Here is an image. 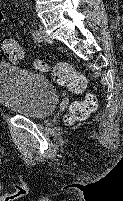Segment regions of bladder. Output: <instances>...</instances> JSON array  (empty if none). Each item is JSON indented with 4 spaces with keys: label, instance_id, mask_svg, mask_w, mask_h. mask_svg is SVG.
I'll list each match as a JSON object with an SVG mask.
<instances>
[{
    "label": "bladder",
    "instance_id": "1",
    "mask_svg": "<svg viewBox=\"0 0 123 201\" xmlns=\"http://www.w3.org/2000/svg\"><path fill=\"white\" fill-rule=\"evenodd\" d=\"M59 95L49 80L37 73L0 62V105L31 119H45L57 107Z\"/></svg>",
    "mask_w": 123,
    "mask_h": 201
}]
</instances>
